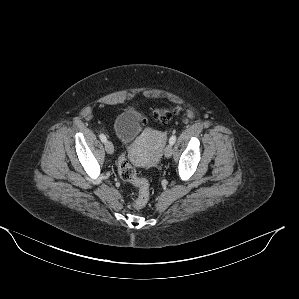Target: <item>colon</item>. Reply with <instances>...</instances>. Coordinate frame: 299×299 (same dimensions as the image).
Here are the masks:
<instances>
[{
  "instance_id": "obj_1",
  "label": "colon",
  "mask_w": 299,
  "mask_h": 299,
  "mask_svg": "<svg viewBox=\"0 0 299 299\" xmlns=\"http://www.w3.org/2000/svg\"><path fill=\"white\" fill-rule=\"evenodd\" d=\"M154 116L160 122L166 123L170 120L172 112L167 109H161L157 110ZM118 168L121 179L132 183L138 189V196L132 203V206L136 209L144 207L148 202L150 194L147 180L137 176L135 168L124 155L118 160Z\"/></svg>"
}]
</instances>
